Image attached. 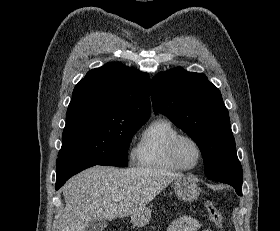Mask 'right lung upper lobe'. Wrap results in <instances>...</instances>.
Instances as JSON below:
<instances>
[{"label": "right lung upper lobe", "mask_w": 280, "mask_h": 231, "mask_svg": "<svg viewBox=\"0 0 280 231\" xmlns=\"http://www.w3.org/2000/svg\"><path fill=\"white\" fill-rule=\"evenodd\" d=\"M150 78L121 63L90 70L74 88L66 119L113 118L147 121Z\"/></svg>", "instance_id": "right-lung-upper-lobe-1"}]
</instances>
